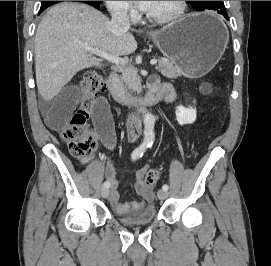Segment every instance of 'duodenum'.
Returning a JSON list of instances; mask_svg holds the SVG:
<instances>
[{
    "label": "duodenum",
    "instance_id": "duodenum-1",
    "mask_svg": "<svg viewBox=\"0 0 271 266\" xmlns=\"http://www.w3.org/2000/svg\"><path fill=\"white\" fill-rule=\"evenodd\" d=\"M108 90L114 100L121 103L134 102L140 108L154 105L168 93V87L162 84L151 83L148 93L142 98H132L124 90L119 75L113 71L107 81Z\"/></svg>",
    "mask_w": 271,
    "mask_h": 266
}]
</instances>
